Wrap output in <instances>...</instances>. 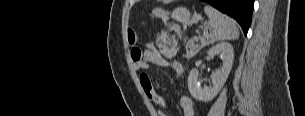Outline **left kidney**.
Listing matches in <instances>:
<instances>
[{
  "instance_id": "left-kidney-1",
  "label": "left kidney",
  "mask_w": 305,
  "mask_h": 116,
  "mask_svg": "<svg viewBox=\"0 0 305 116\" xmlns=\"http://www.w3.org/2000/svg\"><path fill=\"white\" fill-rule=\"evenodd\" d=\"M216 55H220L223 64L220 69L212 73V86H204L203 88L199 86L198 69H192L189 73L188 89L192 97L198 101L209 102L213 100L222 89L232 69L234 50L230 43L222 42L209 49V58H213Z\"/></svg>"
}]
</instances>
